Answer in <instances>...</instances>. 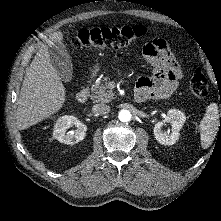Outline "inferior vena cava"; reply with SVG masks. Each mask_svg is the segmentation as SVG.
Instances as JSON below:
<instances>
[{
  "label": "inferior vena cava",
  "instance_id": "obj_1",
  "mask_svg": "<svg viewBox=\"0 0 221 221\" xmlns=\"http://www.w3.org/2000/svg\"><path fill=\"white\" fill-rule=\"evenodd\" d=\"M92 111L97 115H105L110 112V106L105 104H96L92 107Z\"/></svg>",
  "mask_w": 221,
  "mask_h": 221
}]
</instances>
